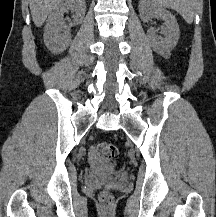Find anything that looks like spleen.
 Here are the masks:
<instances>
[{
  "label": "spleen",
  "instance_id": "1",
  "mask_svg": "<svg viewBox=\"0 0 216 217\" xmlns=\"http://www.w3.org/2000/svg\"><path fill=\"white\" fill-rule=\"evenodd\" d=\"M156 5L177 11L187 23L193 21L197 0H153Z\"/></svg>",
  "mask_w": 216,
  "mask_h": 217
}]
</instances>
